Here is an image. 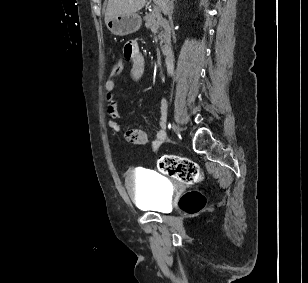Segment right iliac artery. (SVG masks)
Segmentation results:
<instances>
[{
    "mask_svg": "<svg viewBox=\"0 0 308 283\" xmlns=\"http://www.w3.org/2000/svg\"><path fill=\"white\" fill-rule=\"evenodd\" d=\"M168 127L171 128V124H169Z\"/></svg>",
    "mask_w": 308,
    "mask_h": 283,
    "instance_id": "right-iliac-artery-1",
    "label": "right iliac artery"
}]
</instances>
